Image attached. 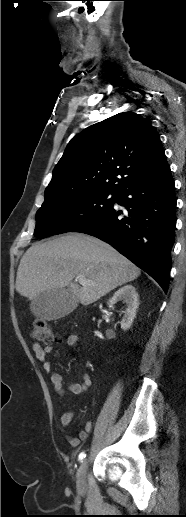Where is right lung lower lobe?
I'll return each instance as SVG.
<instances>
[{
	"label": "right lung lower lobe",
	"mask_w": 186,
	"mask_h": 517,
	"mask_svg": "<svg viewBox=\"0 0 186 517\" xmlns=\"http://www.w3.org/2000/svg\"><path fill=\"white\" fill-rule=\"evenodd\" d=\"M117 202L127 209V216L112 207L72 232L109 243L167 292L177 202L170 167L120 192Z\"/></svg>",
	"instance_id": "obj_1"
}]
</instances>
